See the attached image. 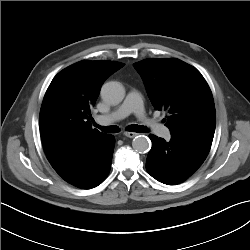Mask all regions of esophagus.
I'll return each instance as SVG.
<instances>
[{
    "mask_svg": "<svg viewBox=\"0 0 250 250\" xmlns=\"http://www.w3.org/2000/svg\"><path fill=\"white\" fill-rule=\"evenodd\" d=\"M124 135L126 137L133 138V137L137 136L138 134L134 133V132H125Z\"/></svg>",
    "mask_w": 250,
    "mask_h": 250,
    "instance_id": "34e87169",
    "label": "esophagus"
}]
</instances>
